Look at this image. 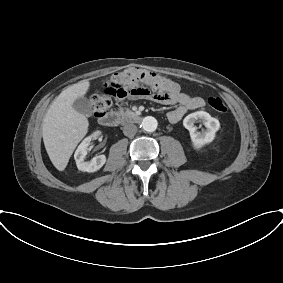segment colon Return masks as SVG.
Returning a JSON list of instances; mask_svg holds the SVG:
<instances>
[{
  "label": "colon",
  "mask_w": 283,
  "mask_h": 283,
  "mask_svg": "<svg viewBox=\"0 0 283 283\" xmlns=\"http://www.w3.org/2000/svg\"><path fill=\"white\" fill-rule=\"evenodd\" d=\"M171 90V80L166 76L138 67H128L115 73L106 82L104 89L92 96L93 114L95 117L106 114L114 99L132 95L139 98L154 96L164 100ZM208 105L219 114L227 111L224 101L219 97H210Z\"/></svg>",
  "instance_id": "obj_1"
}]
</instances>
